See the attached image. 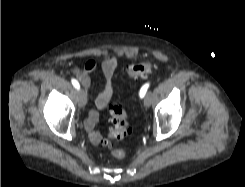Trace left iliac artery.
<instances>
[{
	"label": "left iliac artery",
	"instance_id": "1",
	"mask_svg": "<svg viewBox=\"0 0 245 187\" xmlns=\"http://www.w3.org/2000/svg\"><path fill=\"white\" fill-rule=\"evenodd\" d=\"M148 87H149V83H146V84H144V85L141 87L140 92H139V95H140L141 98H143V97L145 96Z\"/></svg>",
	"mask_w": 245,
	"mask_h": 187
}]
</instances>
